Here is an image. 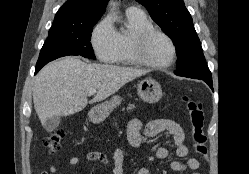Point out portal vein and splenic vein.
Segmentation results:
<instances>
[{
  "instance_id": "18ae733b",
  "label": "portal vein and splenic vein",
  "mask_w": 249,
  "mask_h": 174,
  "mask_svg": "<svg viewBox=\"0 0 249 174\" xmlns=\"http://www.w3.org/2000/svg\"><path fill=\"white\" fill-rule=\"evenodd\" d=\"M96 93V90L89 91V95H94Z\"/></svg>"
}]
</instances>
